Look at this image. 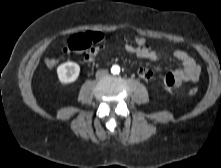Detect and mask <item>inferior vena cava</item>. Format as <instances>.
Wrapping results in <instances>:
<instances>
[{
  "instance_id": "inferior-vena-cava-1",
  "label": "inferior vena cava",
  "mask_w": 221,
  "mask_h": 168,
  "mask_svg": "<svg viewBox=\"0 0 221 168\" xmlns=\"http://www.w3.org/2000/svg\"><path fill=\"white\" fill-rule=\"evenodd\" d=\"M108 76V71L107 70H98L96 72V78L101 79Z\"/></svg>"
}]
</instances>
